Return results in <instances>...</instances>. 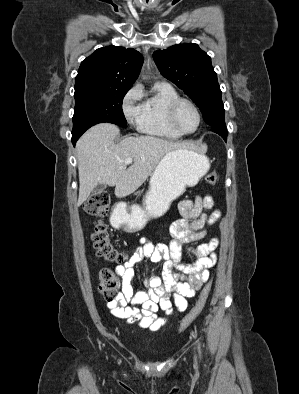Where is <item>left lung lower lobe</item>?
<instances>
[{
	"mask_svg": "<svg viewBox=\"0 0 299 394\" xmlns=\"http://www.w3.org/2000/svg\"><path fill=\"white\" fill-rule=\"evenodd\" d=\"M212 131L218 133L225 141L227 137V129L223 127H212Z\"/></svg>",
	"mask_w": 299,
	"mask_h": 394,
	"instance_id": "1",
	"label": "left lung lower lobe"
}]
</instances>
